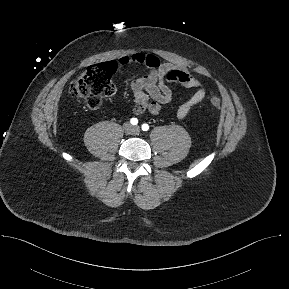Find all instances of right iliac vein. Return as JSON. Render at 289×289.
Wrapping results in <instances>:
<instances>
[{"label": "right iliac vein", "mask_w": 289, "mask_h": 289, "mask_svg": "<svg viewBox=\"0 0 289 289\" xmlns=\"http://www.w3.org/2000/svg\"><path fill=\"white\" fill-rule=\"evenodd\" d=\"M124 130H125L126 132H131V131H132V126H131V124H130V123L124 124Z\"/></svg>", "instance_id": "1"}]
</instances>
